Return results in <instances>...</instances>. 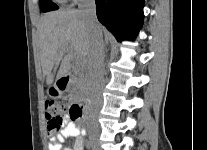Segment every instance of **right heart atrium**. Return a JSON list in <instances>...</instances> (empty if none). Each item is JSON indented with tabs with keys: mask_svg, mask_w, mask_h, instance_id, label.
I'll return each mask as SVG.
<instances>
[{
	"mask_svg": "<svg viewBox=\"0 0 207 150\" xmlns=\"http://www.w3.org/2000/svg\"><path fill=\"white\" fill-rule=\"evenodd\" d=\"M63 1H77V0H63Z\"/></svg>",
	"mask_w": 207,
	"mask_h": 150,
	"instance_id": "1",
	"label": "right heart atrium"
}]
</instances>
